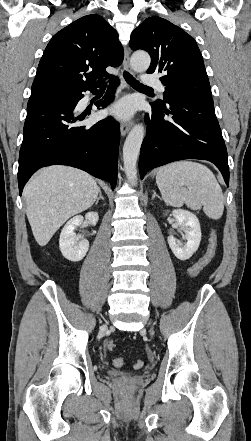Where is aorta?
<instances>
[{"label": "aorta", "instance_id": "1", "mask_svg": "<svg viewBox=\"0 0 251 441\" xmlns=\"http://www.w3.org/2000/svg\"><path fill=\"white\" fill-rule=\"evenodd\" d=\"M131 67L136 72H144L150 66V56L145 52H136L131 57ZM144 138V127L135 125L129 132L123 146L124 171L131 185L137 184V160Z\"/></svg>", "mask_w": 251, "mask_h": 441}]
</instances>
